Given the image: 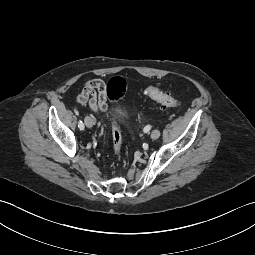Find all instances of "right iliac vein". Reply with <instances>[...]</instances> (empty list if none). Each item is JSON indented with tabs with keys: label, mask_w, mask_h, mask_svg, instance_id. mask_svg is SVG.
<instances>
[{
	"label": "right iliac vein",
	"mask_w": 255,
	"mask_h": 255,
	"mask_svg": "<svg viewBox=\"0 0 255 255\" xmlns=\"http://www.w3.org/2000/svg\"><path fill=\"white\" fill-rule=\"evenodd\" d=\"M84 122H85V125L88 127V128H91L93 125H94V121L91 117L89 116H86L85 119H84Z\"/></svg>",
	"instance_id": "right-iliac-vein-1"
}]
</instances>
